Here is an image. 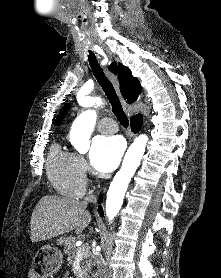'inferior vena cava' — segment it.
Masks as SVG:
<instances>
[{"instance_id":"inferior-vena-cava-1","label":"inferior vena cava","mask_w":221,"mask_h":278,"mask_svg":"<svg viewBox=\"0 0 221 278\" xmlns=\"http://www.w3.org/2000/svg\"><path fill=\"white\" fill-rule=\"evenodd\" d=\"M92 201H96V197L94 195L86 197L84 203L87 204L88 202H92ZM93 259H94V264L96 265L97 268L99 278H110V273L103 256L96 251L93 254Z\"/></svg>"}]
</instances>
